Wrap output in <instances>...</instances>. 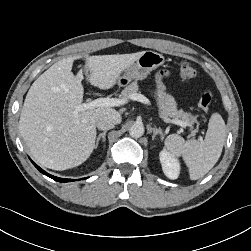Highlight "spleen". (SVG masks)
Masks as SVG:
<instances>
[{"label": "spleen", "mask_w": 251, "mask_h": 251, "mask_svg": "<svg viewBox=\"0 0 251 251\" xmlns=\"http://www.w3.org/2000/svg\"><path fill=\"white\" fill-rule=\"evenodd\" d=\"M226 137V125L219 113H213L204 141H185L178 134L166 137L164 146L173 156H182L189 168L190 179L197 180L217 163Z\"/></svg>", "instance_id": "obj_1"}]
</instances>
